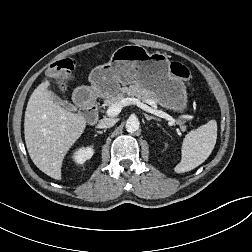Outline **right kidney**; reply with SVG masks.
Wrapping results in <instances>:
<instances>
[{
	"label": "right kidney",
	"instance_id": "1",
	"mask_svg": "<svg viewBox=\"0 0 252 252\" xmlns=\"http://www.w3.org/2000/svg\"><path fill=\"white\" fill-rule=\"evenodd\" d=\"M93 153L92 147H83L75 151L72 158L77 164H84L86 160L92 157Z\"/></svg>",
	"mask_w": 252,
	"mask_h": 252
}]
</instances>
